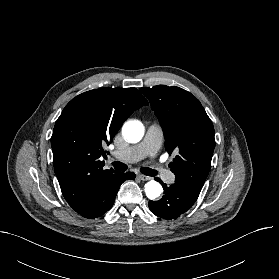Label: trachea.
I'll return each mask as SVG.
<instances>
[{
  "label": "trachea",
  "instance_id": "3493384b",
  "mask_svg": "<svg viewBox=\"0 0 279 279\" xmlns=\"http://www.w3.org/2000/svg\"><path fill=\"white\" fill-rule=\"evenodd\" d=\"M114 168L118 171H126L127 170V165H125L124 163L122 162H119V161H115L112 163ZM140 171L147 175V176H156L157 175V171L156 170H153V169H150V168H146V167H142L140 169Z\"/></svg>",
  "mask_w": 279,
  "mask_h": 279
}]
</instances>
